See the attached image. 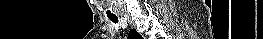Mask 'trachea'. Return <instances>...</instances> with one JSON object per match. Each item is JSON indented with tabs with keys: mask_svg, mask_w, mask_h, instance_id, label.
<instances>
[{
	"mask_svg": "<svg viewBox=\"0 0 263 39\" xmlns=\"http://www.w3.org/2000/svg\"><path fill=\"white\" fill-rule=\"evenodd\" d=\"M113 23H118V18H109Z\"/></svg>",
	"mask_w": 263,
	"mask_h": 39,
	"instance_id": "1",
	"label": "trachea"
}]
</instances>
